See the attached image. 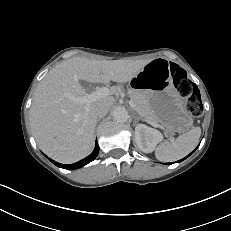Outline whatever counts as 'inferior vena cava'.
Returning <instances> with one entry per match:
<instances>
[{"label": "inferior vena cava", "instance_id": "obj_1", "mask_svg": "<svg viewBox=\"0 0 231 231\" xmlns=\"http://www.w3.org/2000/svg\"><path fill=\"white\" fill-rule=\"evenodd\" d=\"M108 112H109V107L105 104H99L95 110V113L99 118L105 117L108 114Z\"/></svg>", "mask_w": 231, "mask_h": 231}]
</instances>
